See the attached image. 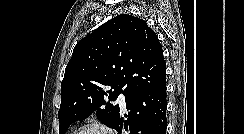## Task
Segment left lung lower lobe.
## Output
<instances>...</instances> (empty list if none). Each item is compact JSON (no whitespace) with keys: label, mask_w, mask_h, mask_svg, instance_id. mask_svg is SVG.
Returning <instances> with one entry per match:
<instances>
[{"label":"left lung lower lobe","mask_w":244,"mask_h":134,"mask_svg":"<svg viewBox=\"0 0 244 134\" xmlns=\"http://www.w3.org/2000/svg\"><path fill=\"white\" fill-rule=\"evenodd\" d=\"M125 102L130 112L125 115L124 128L129 134H166V84L130 94ZM112 128L121 133L120 114Z\"/></svg>","instance_id":"0a47b994"}]
</instances>
